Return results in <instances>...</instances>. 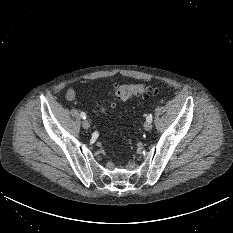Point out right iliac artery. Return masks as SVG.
Instances as JSON below:
<instances>
[{"label":"right iliac artery","mask_w":233,"mask_h":233,"mask_svg":"<svg viewBox=\"0 0 233 233\" xmlns=\"http://www.w3.org/2000/svg\"><path fill=\"white\" fill-rule=\"evenodd\" d=\"M80 116H81V118L86 119V113L81 112V113H80Z\"/></svg>","instance_id":"82829eb1"}]
</instances>
